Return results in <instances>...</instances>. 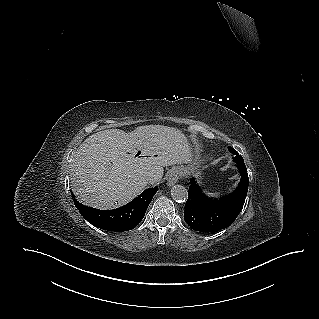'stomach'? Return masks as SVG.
<instances>
[{
  "label": "stomach",
  "mask_w": 319,
  "mask_h": 319,
  "mask_svg": "<svg viewBox=\"0 0 319 319\" xmlns=\"http://www.w3.org/2000/svg\"><path fill=\"white\" fill-rule=\"evenodd\" d=\"M181 170L184 174H188L190 171H193L194 168L191 166V167H181ZM196 176L199 177V179H201V172H197L196 173Z\"/></svg>",
  "instance_id": "obj_1"
}]
</instances>
